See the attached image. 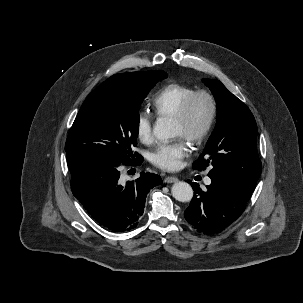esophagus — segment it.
<instances>
[{"instance_id": "esophagus-1", "label": "esophagus", "mask_w": 303, "mask_h": 303, "mask_svg": "<svg viewBox=\"0 0 303 303\" xmlns=\"http://www.w3.org/2000/svg\"><path fill=\"white\" fill-rule=\"evenodd\" d=\"M177 181H178V178L174 177V176H168L164 179L165 183H174V182H177Z\"/></svg>"}]
</instances>
